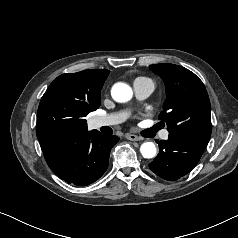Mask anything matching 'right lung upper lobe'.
Segmentation results:
<instances>
[{"label": "right lung upper lobe", "mask_w": 238, "mask_h": 238, "mask_svg": "<svg viewBox=\"0 0 238 238\" xmlns=\"http://www.w3.org/2000/svg\"><path fill=\"white\" fill-rule=\"evenodd\" d=\"M106 69L62 74L48 87L37 112V137L43 153L58 147L74 132L86 129L90 108L100 106Z\"/></svg>", "instance_id": "obj_1"}]
</instances>
